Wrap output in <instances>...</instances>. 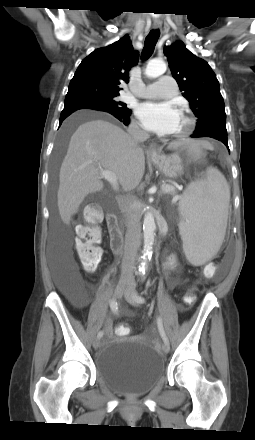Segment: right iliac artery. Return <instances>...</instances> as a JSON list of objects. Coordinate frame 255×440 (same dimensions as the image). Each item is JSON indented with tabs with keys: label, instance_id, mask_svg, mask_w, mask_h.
Segmentation results:
<instances>
[{
	"label": "right iliac artery",
	"instance_id": "82829eb1",
	"mask_svg": "<svg viewBox=\"0 0 255 440\" xmlns=\"http://www.w3.org/2000/svg\"><path fill=\"white\" fill-rule=\"evenodd\" d=\"M110 308L114 313H117L118 311V304L114 298L110 300ZM103 336V331H100L97 335V337L100 339Z\"/></svg>",
	"mask_w": 255,
	"mask_h": 440
}]
</instances>
